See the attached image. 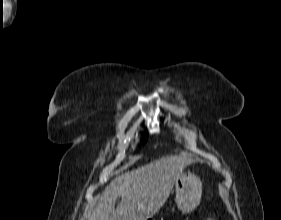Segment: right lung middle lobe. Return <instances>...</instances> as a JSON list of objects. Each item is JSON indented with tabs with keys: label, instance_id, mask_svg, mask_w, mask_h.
Listing matches in <instances>:
<instances>
[{
	"label": "right lung middle lobe",
	"instance_id": "right-lung-middle-lobe-1",
	"mask_svg": "<svg viewBox=\"0 0 281 220\" xmlns=\"http://www.w3.org/2000/svg\"><path fill=\"white\" fill-rule=\"evenodd\" d=\"M146 140H147V137H144V138L142 139V142L145 143Z\"/></svg>",
	"mask_w": 281,
	"mask_h": 220
}]
</instances>
